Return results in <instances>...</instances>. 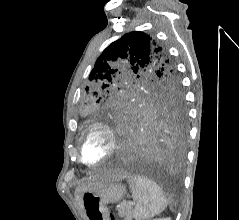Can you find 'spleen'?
<instances>
[{
    "instance_id": "1",
    "label": "spleen",
    "mask_w": 239,
    "mask_h": 220,
    "mask_svg": "<svg viewBox=\"0 0 239 220\" xmlns=\"http://www.w3.org/2000/svg\"><path fill=\"white\" fill-rule=\"evenodd\" d=\"M129 186L136 202L133 212L135 220H145L159 215L168 205L162 189L144 176H129Z\"/></svg>"
}]
</instances>
